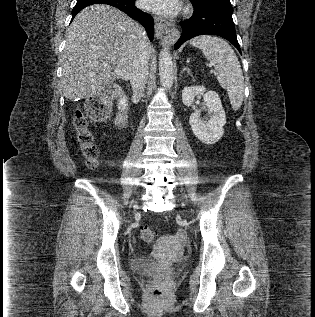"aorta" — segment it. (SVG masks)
Listing matches in <instances>:
<instances>
[{
	"label": "aorta",
	"instance_id": "1",
	"mask_svg": "<svg viewBox=\"0 0 315 317\" xmlns=\"http://www.w3.org/2000/svg\"><path fill=\"white\" fill-rule=\"evenodd\" d=\"M159 76L161 84L166 89H171L174 81V65L167 48H164L159 55Z\"/></svg>",
	"mask_w": 315,
	"mask_h": 317
}]
</instances>
